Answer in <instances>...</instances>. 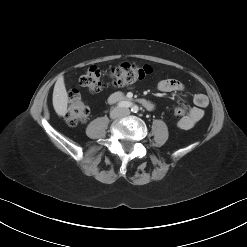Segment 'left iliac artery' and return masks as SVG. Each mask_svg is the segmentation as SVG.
Wrapping results in <instances>:
<instances>
[{"label":"left iliac artery","mask_w":247,"mask_h":247,"mask_svg":"<svg viewBox=\"0 0 247 247\" xmlns=\"http://www.w3.org/2000/svg\"><path fill=\"white\" fill-rule=\"evenodd\" d=\"M138 107L137 106H133L131 111L134 112V113H137L138 112Z\"/></svg>","instance_id":"1"}]
</instances>
